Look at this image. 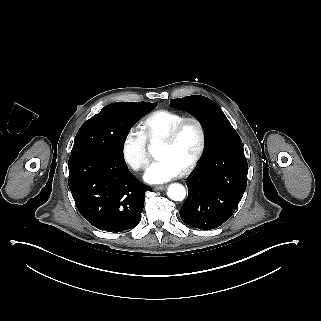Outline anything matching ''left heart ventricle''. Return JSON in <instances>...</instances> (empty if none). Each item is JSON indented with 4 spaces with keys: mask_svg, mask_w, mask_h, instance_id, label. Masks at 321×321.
<instances>
[{
    "mask_svg": "<svg viewBox=\"0 0 321 321\" xmlns=\"http://www.w3.org/2000/svg\"><path fill=\"white\" fill-rule=\"evenodd\" d=\"M199 147V130L195 123L184 126L177 140L169 143L162 139V155L173 156L178 165L184 170L195 156Z\"/></svg>",
    "mask_w": 321,
    "mask_h": 321,
    "instance_id": "b2bd125f",
    "label": "left heart ventricle"
}]
</instances>
